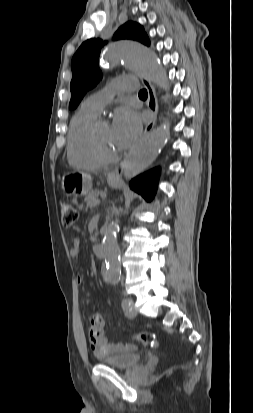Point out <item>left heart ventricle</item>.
Here are the masks:
<instances>
[{
    "instance_id": "1",
    "label": "left heart ventricle",
    "mask_w": 253,
    "mask_h": 413,
    "mask_svg": "<svg viewBox=\"0 0 253 413\" xmlns=\"http://www.w3.org/2000/svg\"><path fill=\"white\" fill-rule=\"evenodd\" d=\"M98 139L102 147L108 151H116L118 147L114 141L111 126L104 122L98 128Z\"/></svg>"
}]
</instances>
